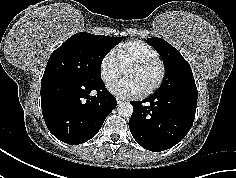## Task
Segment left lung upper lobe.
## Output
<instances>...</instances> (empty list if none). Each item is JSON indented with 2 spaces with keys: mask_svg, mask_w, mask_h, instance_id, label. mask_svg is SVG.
Masks as SVG:
<instances>
[{
  "mask_svg": "<svg viewBox=\"0 0 236 178\" xmlns=\"http://www.w3.org/2000/svg\"><path fill=\"white\" fill-rule=\"evenodd\" d=\"M147 42L161 55L165 66V78L156 93L197 95L191 67L179 51L161 38H148Z\"/></svg>",
  "mask_w": 236,
  "mask_h": 178,
  "instance_id": "left-lung-upper-lobe-1",
  "label": "left lung upper lobe"
}]
</instances>
